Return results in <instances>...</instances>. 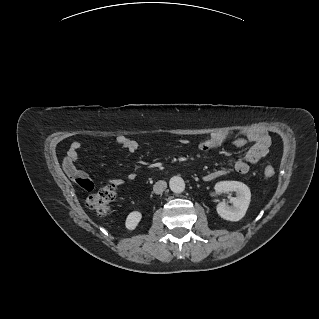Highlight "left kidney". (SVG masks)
Wrapping results in <instances>:
<instances>
[{
    "mask_svg": "<svg viewBox=\"0 0 319 319\" xmlns=\"http://www.w3.org/2000/svg\"><path fill=\"white\" fill-rule=\"evenodd\" d=\"M216 193L235 192L236 197L230 199L232 205L226 202H220L216 206L218 215L228 221L241 220L249 207L251 200V192L249 187L239 181H221L215 184Z\"/></svg>",
    "mask_w": 319,
    "mask_h": 319,
    "instance_id": "1",
    "label": "left kidney"
}]
</instances>
